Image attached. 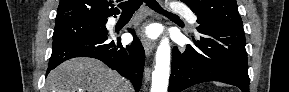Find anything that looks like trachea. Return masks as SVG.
<instances>
[{
	"mask_svg": "<svg viewBox=\"0 0 289 92\" xmlns=\"http://www.w3.org/2000/svg\"><path fill=\"white\" fill-rule=\"evenodd\" d=\"M143 1L155 11L178 17L177 15L164 10L156 0H128L120 3L118 7L121 8L124 13H130L136 11L143 4Z\"/></svg>",
	"mask_w": 289,
	"mask_h": 92,
	"instance_id": "trachea-1",
	"label": "trachea"
}]
</instances>
